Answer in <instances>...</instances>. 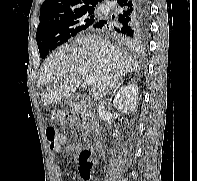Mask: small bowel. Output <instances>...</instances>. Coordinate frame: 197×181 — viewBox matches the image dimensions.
Returning <instances> with one entry per match:
<instances>
[{
	"mask_svg": "<svg viewBox=\"0 0 197 181\" xmlns=\"http://www.w3.org/2000/svg\"><path fill=\"white\" fill-rule=\"evenodd\" d=\"M80 148H81V146L79 144H69L64 147L63 151L65 154H71V153L77 152ZM60 149H61V147H60ZM60 149L58 151L53 150V153H52L53 158L55 157V152H59ZM55 175L57 177L61 176V168L58 165L55 166Z\"/></svg>",
	"mask_w": 197,
	"mask_h": 181,
	"instance_id": "c3829d8e",
	"label": "small bowel"
}]
</instances>
